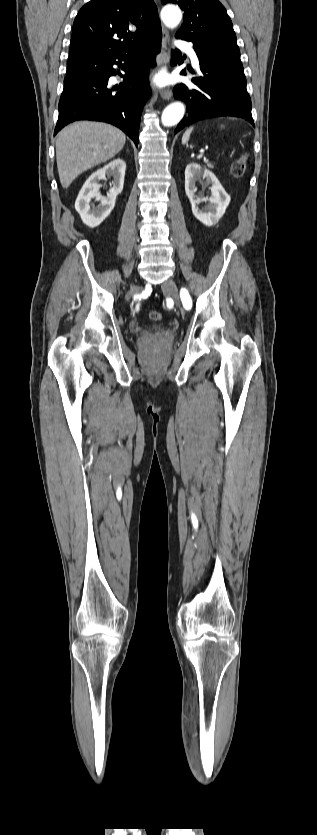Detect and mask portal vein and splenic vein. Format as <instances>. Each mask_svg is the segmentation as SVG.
<instances>
[{
    "label": "portal vein and splenic vein",
    "mask_w": 317,
    "mask_h": 835,
    "mask_svg": "<svg viewBox=\"0 0 317 835\" xmlns=\"http://www.w3.org/2000/svg\"><path fill=\"white\" fill-rule=\"evenodd\" d=\"M204 161H205V162H209V159H208V158H206V157H204Z\"/></svg>",
    "instance_id": "obj_1"
}]
</instances>
